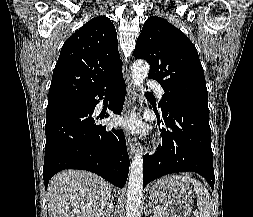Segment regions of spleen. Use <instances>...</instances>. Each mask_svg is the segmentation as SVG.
I'll return each instance as SVG.
<instances>
[{"label":"spleen","instance_id":"obj_1","mask_svg":"<svg viewBox=\"0 0 253 217\" xmlns=\"http://www.w3.org/2000/svg\"><path fill=\"white\" fill-rule=\"evenodd\" d=\"M174 179L181 182H191L194 185V190L197 194V206L199 211V216L197 217H211V197L208 190L199 181L190 178L187 175L184 176H173Z\"/></svg>","mask_w":253,"mask_h":217}]
</instances>
